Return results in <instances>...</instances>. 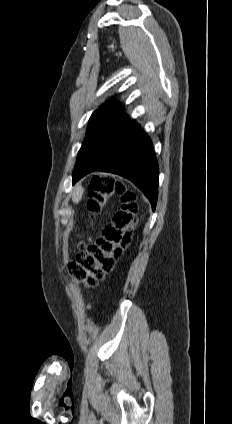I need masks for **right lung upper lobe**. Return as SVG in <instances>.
I'll return each mask as SVG.
<instances>
[{"mask_svg": "<svg viewBox=\"0 0 232 424\" xmlns=\"http://www.w3.org/2000/svg\"><path fill=\"white\" fill-rule=\"evenodd\" d=\"M121 105L119 102H111L103 105L101 108H120Z\"/></svg>", "mask_w": 232, "mask_h": 424, "instance_id": "right-lung-upper-lobe-1", "label": "right lung upper lobe"}]
</instances>
